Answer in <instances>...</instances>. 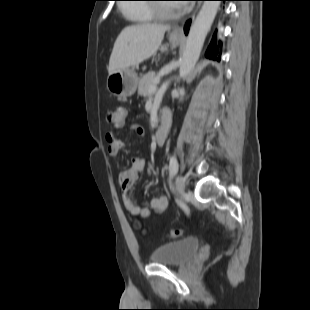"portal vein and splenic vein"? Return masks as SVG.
I'll use <instances>...</instances> for the list:
<instances>
[{"label":"portal vein and splenic vein","mask_w":310,"mask_h":310,"mask_svg":"<svg viewBox=\"0 0 310 310\" xmlns=\"http://www.w3.org/2000/svg\"><path fill=\"white\" fill-rule=\"evenodd\" d=\"M156 90H157V86H156V85L151 86V87L149 88V92H150V93H154V92H156Z\"/></svg>","instance_id":"18ae733b"}]
</instances>
